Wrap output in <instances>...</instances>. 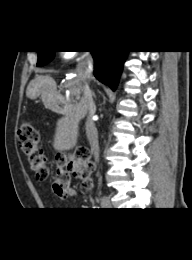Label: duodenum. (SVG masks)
<instances>
[{
	"instance_id": "1",
	"label": "duodenum",
	"mask_w": 192,
	"mask_h": 260,
	"mask_svg": "<svg viewBox=\"0 0 192 260\" xmlns=\"http://www.w3.org/2000/svg\"><path fill=\"white\" fill-rule=\"evenodd\" d=\"M56 110L59 113H63V114H71V108L62 100H59L56 102Z\"/></svg>"
}]
</instances>
